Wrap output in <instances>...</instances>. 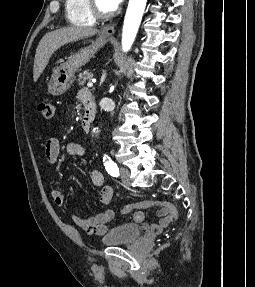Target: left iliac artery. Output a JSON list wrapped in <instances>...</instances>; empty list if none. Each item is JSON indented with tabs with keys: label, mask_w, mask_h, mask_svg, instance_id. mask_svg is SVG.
Here are the masks:
<instances>
[{
	"label": "left iliac artery",
	"mask_w": 255,
	"mask_h": 287,
	"mask_svg": "<svg viewBox=\"0 0 255 287\" xmlns=\"http://www.w3.org/2000/svg\"><path fill=\"white\" fill-rule=\"evenodd\" d=\"M103 161H104L105 169H106V171H107L110 175H112V176H114V177L119 176V168H118L117 164L114 163V162L110 159V157H108L107 155H105Z\"/></svg>",
	"instance_id": "1"
}]
</instances>
